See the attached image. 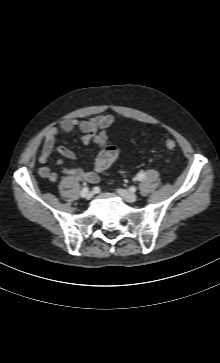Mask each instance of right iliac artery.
Returning <instances> with one entry per match:
<instances>
[{
    "mask_svg": "<svg viewBox=\"0 0 220 363\" xmlns=\"http://www.w3.org/2000/svg\"><path fill=\"white\" fill-rule=\"evenodd\" d=\"M88 187H84L81 192H80V196L81 197H85V195L88 193Z\"/></svg>",
    "mask_w": 220,
    "mask_h": 363,
    "instance_id": "right-iliac-artery-1",
    "label": "right iliac artery"
}]
</instances>
